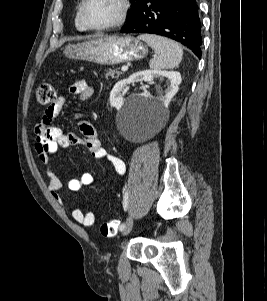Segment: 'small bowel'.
<instances>
[{"mask_svg":"<svg viewBox=\"0 0 267 301\" xmlns=\"http://www.w3.org/2000/svg\"><path fill=\"white\" fill-rule=\"evenodd\" d=\"M70 95L84 102L94 94V88L86 80H76L69 89ZM67 101V97L60 96L50 105L39 122L35 126L34 146L38 159L46 167L48 177V190L53 197L62 202L60 190L63 186L61 180L54 173L49 165L50 159L59 151L73 145L85 146L92 156L97 160H106L113 167L118 175H123L126 171L124 161L109 153L101 144L97 130L86 120H79L78 126L81 136L65 133L60 127L52 124L53 120L59 115ZM93 183V176L89 172H83L79 177L70 178L66 181V186L70 191H78L83 187ZM72 218L84 226H92L95 222V216L92 212H83L76 208L72 211Z\"/></svg>","mask_w":267,"mask_h":301,"instance_id":"1","label":"small bowel"}]
</instances>
